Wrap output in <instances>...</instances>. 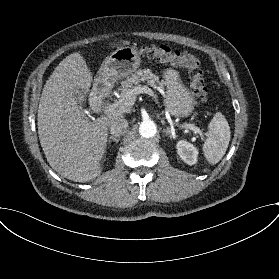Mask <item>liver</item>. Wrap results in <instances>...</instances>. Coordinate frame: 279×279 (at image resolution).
Segmentation results:
<instances>
[{"mask_svg": "<svg viewBox=\"0 0 279 279\" xmlns=\"http://www.w3.org/2000/svg\"><path fill=\"white\" fill-rule=\"evenodd\" d=\"M93 81L92 72L79 53L64 58L46 81L38 106L37 126L49 165L75 182L94 180L101 174L108 127L117 115L89 121L79 104ZM106 84L100 76L94 87Z\"/></svg>", "mask_w": 279, "mask_h": 279, "instance_id": "obj_1", "label": "liver"}]
</instances>
